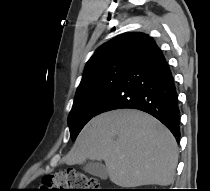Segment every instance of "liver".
I'll return each instance as SVG.
<instances>
[{
	"label": "liver",
	"mask_w": 210,
	"mask_h": 191,
	"mask_svg": "<svg viewBox=\"0 0 210 191\" xmlns=\"http://www.w3.org/2000/svg\"><path fill=\"white\" fill-rule=\"evenodd\" d=\"M104 160L120 187L167 186L173 182L178 148L171 132L154 117L119 109L92 118L66 157L67 165Z\"/></svg>",
	"instance_id": "6515ba94"
}]
</instances>
